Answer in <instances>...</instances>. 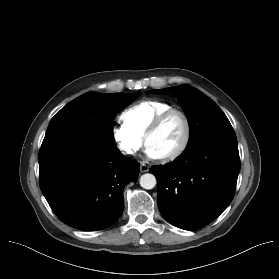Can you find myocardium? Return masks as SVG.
I'll list each match as a JSON object with an SVG mask.
<instances>
[{
    "mask_svg": "<svg viewBox=\"0 0 279 279\" xmlns=\"http://www.w3.org/2000/svg\"><path fill=\"white\" fill-rule=\"evenodd\" d=\"M173 114H177L182 118L184 127H185V132H184L183 140H182L181 144L178 146V148L176 150H174L173 152L160 157V159L165 162L177 159L186 151V149L189 146L191 136H192V126H191V122H190L188 115L183 110L178 109V108L167 109V110L163 111L162 113H160L154 119V121L150 124V126L148 127V129L144 135V143L147 146L149 137L162 126V124L165 122V120L169 116H171Z\"/></svg>",
    "mask_w": 279,
    "mask_h": 279,
    "instance_id": "myocardium-1",
    "label": "myocardium"
}]
</instances>
